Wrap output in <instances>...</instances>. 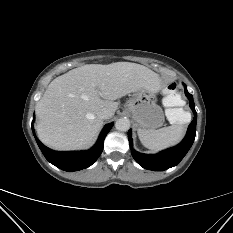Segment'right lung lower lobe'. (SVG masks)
<instances>
[{
	"label": "right lung lower lobe",
	"instance_id": "98d812e1",
	"mask_svg": "<svg viewBox=\"0 0 233 233\" xmlns=\"http://www.w3.org/2000/svg\"><path fill=\"white\" fill-rule=\"evenodd\" d=\"M112 126L113 122L107 124L102 130L95 146L87 151H53L36 138L34 131L33 134L43 155L51 164L65 171H78L91 166L98 159L103 150L104 139Z\"/></svg>",
	"mask_w": 233,
	"mask_h": 233
}]
</instances>
